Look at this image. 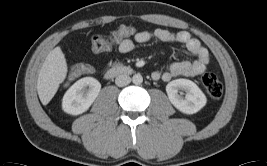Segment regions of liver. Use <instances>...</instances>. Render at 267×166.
Returning <instances> with one entry per match:
<instances>
[{"instance_id": "obj_1", "label": "liver", "mask_w": 267, "mask_h": 166, "mask_svg": "<svg viewBox=\"0 0 267 166\" xmlns=\"http://www.w3.org/2000/svg\"><path fill=\"white\" fill-rule=\"evenodd\" d=\"M67 62L59 46L47 55L37 79V92L43 105H47L56 94L59 85L67 76Z\"/></svg>"}]
</instances>
